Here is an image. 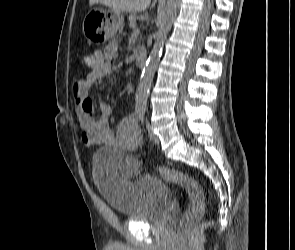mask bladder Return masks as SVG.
<instances>
[{
	"instance_id": "1",
	"label": "bladder",
	"mask_w": 295,
	"mask_h": 250,
	"mask_svg": "<svg viewBox=\"0 0 295 250\" xmlns=\"http://www.w3.org/2000/svg\"><path fill=\"white\" fill-rule=\"evenodd\" d=\"M121 161L125 159L113 148L100 149L93 154V177L104 200L127 219H160L171 204L170 188L144 173L136 179L123 181L121 177L128 166H121Z\"/></svg>"
}]
</instances>
